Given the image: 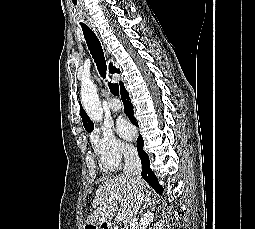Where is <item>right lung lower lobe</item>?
Wrapping results in <instances>:
<instances>
[{
  "instance_id": "1",
  "label": "right lung lower lobe",
  "mask_w": 255,
  "mask_h": 229,
  "mask_svg": "<svg viewBox=\"0 0 255 229\" xmlns=\"http://www.w3.org/2000/svg\"><path fill=\"white\" fill-rule=\"evenodd\" d=\"M121 99L124 102V110L125 114L128 116L130 121L138 127V124L133 116V106L131 105L130 99H129V93L126 91L125 87L123 86L121 88ZM143 138L141 135H139L137 139V151L139 154V157L141 159L142 163V177L149 185L152 186V188L159 194L163 192V187H161L158 183V180L153 173V171L150 169V161L148 154L143 150Z\"/></svg>"
}]
</instances>
